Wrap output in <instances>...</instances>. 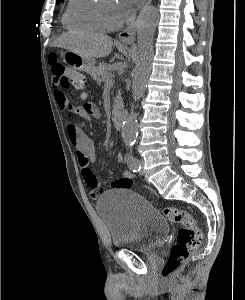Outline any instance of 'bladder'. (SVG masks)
Returning <instances> with one entry per match:
<instances>
[{"instance_id":"bladder-1","label":"bladder","mask_w":245,"mask_h":300,"mask_svg":"<svg viewBox=\"0 0 245 300\" xmlns=\"http://www.w3.org/2000/svg\"><path fill=\"white\" fill-rule=\"evenodd\" d=\"M96 209L105 223L113 248L151 253L169 233L167 221L141 195L116 189L101 195Z\"/></svg>"}]
</instances>
